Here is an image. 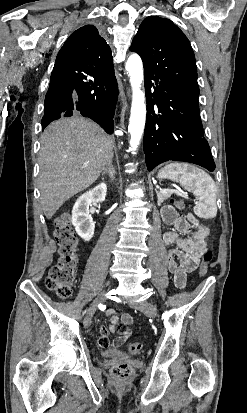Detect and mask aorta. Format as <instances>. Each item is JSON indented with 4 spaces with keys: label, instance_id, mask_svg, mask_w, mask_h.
I'll return each instance as SVG.
<instances>
[{
    "label": "aorta",
    "instance_id": "1",
    "mask_svg": "<svg viewBox=\"0 0 247 413\" xmlns=\"http://www.w3.org/2000/svg\"><path fill=\"white\" fill-rule=\"evenodd\" d=\"M125 68L130 77L132 88L131 115L128 126V132L131 135L129 149L132 151V154H136L135 151L140 143L146 121L145 94L141 89L143 81V63L139 55H130L126 61Z\"/></svg>",
    "mask_w": 247,
    "mask_h": 413
}]
</instances>
